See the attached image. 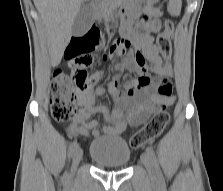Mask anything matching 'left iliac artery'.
<instances>
[{
  "label": "left iliac artery",
  "instance_id": "44dca946",
  "mask_svg": "<svg viewBox=\"0 0 223 191\" xmlns=\"http://www.w3.org/2000/svg\"><path fill=\"white\" fill-rule=\"evenodd\" d=\"M146 152L149 155L150 159L152 160V162H153V164H154V166L156 168L157 180H158L159 184L161 186H163L164 185V177H163V175H162V173H161V171L159 169L155 151L153 150L152 147L148 146L146 148Z\"/></svg>",
  "mask_w": 223,
  "mask_h": 191
}]
</instances>
